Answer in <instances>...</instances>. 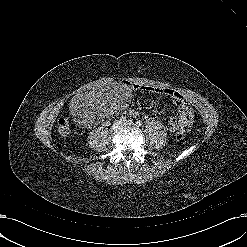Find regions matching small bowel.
<instances>
[{
    "instance_id": "c3829d8e",
    "label": "small bowel",
    "mask_w": 247,
    "mask_h": 247,
    "mask_svg": "<svg viewBox=\"0 0 247 247\" xmlns=\"http://www.w3.org/2000/svg\"><path fill=\"white\" fill-rule=\"evenodd\" d=\"M135 88L138 91L163 93L170 97L178 111L177 117L168 119V125L171 130L185 129L188 131L192 127L193 110L183 94L174 89L158 85H135ZM154 117L155 116H151V118Z\"/></svg>"
}]
</instances>
